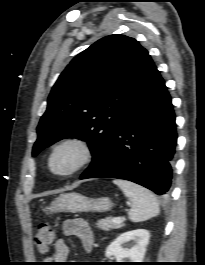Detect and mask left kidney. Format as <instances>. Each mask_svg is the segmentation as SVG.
<instances>
[{"instance_id": "obj_1", "label": "left kidney", "mask_w": 205, "mask_h": 265, "mask_svg": "<svg viewBox=\"0 0 205 265\" xmlns=\"http://www.w3.org/2000/svg\"><path fill=\"white\" fill-rule=\"evenodd\" d=\"M150 233L145 229H137L120 234L106 249L105 256H114L117 262L128 258L130 262H142L149 242ZM129 243V248L123 245Z\"/></svg>"}]
</instances>
